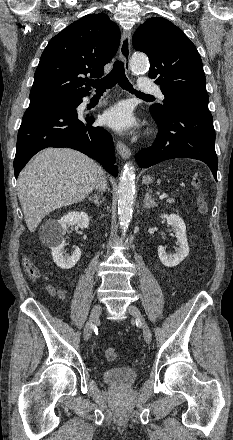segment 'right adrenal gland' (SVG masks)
Returning a JSON list of instances; mask_svg holds the SVG:
<instances>
[{"label": "right adrenal gland", "mask_w": 233, "mask_h": 440, "mask_svg": "<svg viewBox=\"0 0 233 440\" xmlns=\"http://www.w3.org/2000/svg\"><path fill=\"white\" fill-rule=\"evenodd\" d=\"M100 197H102V194H100V196L94 195V197H89V200L93 201L96 206H99L102 203Z\"/></svg>", "instance_id": "2a0ac1e0"}]
</instances>
